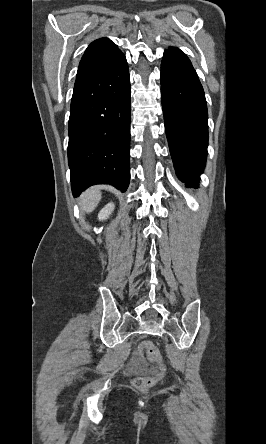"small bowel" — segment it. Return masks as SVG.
Masks as SVG:
<instances>
[{
	"label": "small bowel",
	"instance_id": "small-bowel-1",
	"mask_svg": "<svg viewBox=\"0 0 266 444\" xmlns=\"http://www.w3.org/2000/svg\"><path fill=\"white\" fill-rule=\"evenodd\" d=\"M145 372V366L142 356L139 353L134 354L127 368L129 375H137Z\"/></svg>",
	"mask_w": 266,
	"mask_h": 444
}]
</instances>
